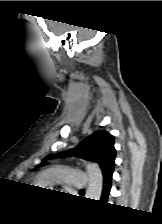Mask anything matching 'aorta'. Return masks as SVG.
Returning <instances> with one entry per match:
<instances>
[{"mask_svg": "<svg viewBox=\"0 0 162 224\" xmlns=\"http://www.w3.org/2000/svg\"><path fill=\"white\" fill-rule=\"evenodd\" d=\"M88 173V188L86 198L99 200L103 188V175L100 167L95 163H88L86 166Z\"/></svg>", "mask_w": 162, "mask_h": 224, "instance_id": "aorta-1", "label": "aorta"}]
</instances>
